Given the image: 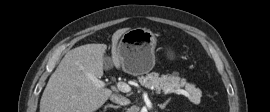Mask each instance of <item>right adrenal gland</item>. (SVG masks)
<instances>
[{"mask_svg": "<svg viewBox=\"0 0 270 112\" xmlns=\"http://www.w3.org/2000/svg\"><path fill=\"white\" fill-rule=\"evenodd\" d=\"M120 106H116V105H113V104H108V105H106L105 106V109H107V108H114V109H117V108H119Z\"/></svg>", "mask_w": 270, "mask_h": 112, "instance_id": "1", "label": "right adrenal gland"}]
</instances>
